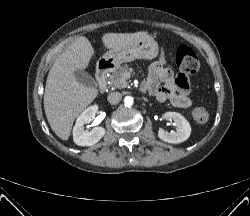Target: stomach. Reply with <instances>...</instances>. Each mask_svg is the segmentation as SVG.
I'll return each instance as SVG.
<instances>
[{
  "instance_id": "1",
  "label": "stomach",
  "mask_w": 250,
  "mask_h": 216,
  "mask_svg": "<svg viewBox=\"0 0 250 216\" xmlns=\"http://www.w3.org/2000/svg\"><path fill=\"white\" fill-rule=\"evenodd\" d=\"M158 55V43L152 36L147 35L139 41L108 51L103 56V59L110 66L117 68L122 63L131 62L136 59L152 60L158 57Z\"/></svg>"
}]
</instances>
